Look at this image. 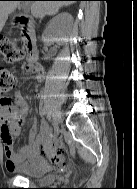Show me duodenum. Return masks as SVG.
Masks as SVG:
<instances>
[{"label":"duodenum","mask_w":137,"mask_h":189,"mask_svg":"<svg viewBox=\"0 0 137 189\" xmlns=\"http://www.w3.org/2000/svg\"><path fill=\"white\" fill-rule=\"evenodd\" d=\"M14 24L21 31V38L29 57L30 67L34 69L38 66V52L34 30L35 22L25 16H19L14 20Z\"/></svg>","instance_id":"duodenum-1"}]
</instances>
